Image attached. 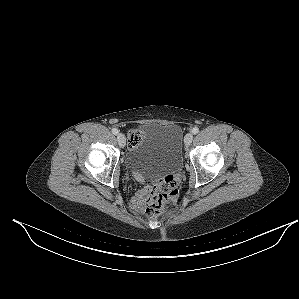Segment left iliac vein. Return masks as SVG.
Segmentation results:
<instances>
[{"label":"left iliac vein","instance_id":"left-iliac-vein-1","mask_svg":"<svg viewBox=\"0 0 299 299\" xmlns=\"http://www.w3.org/2000/svg\"><path fill=\"white\" fill-rule=\"evenodd\" d=\"M192 140H193V134L192 133L186 134L184 138L185 145L189 146L192 143Z\"/></svg>","mask_w":299,"mask_h":299}]
</instances>
